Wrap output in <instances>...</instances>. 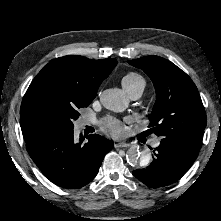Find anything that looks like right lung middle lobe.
I'll use <instances>...</instances> for the list:
<instances>
[{"label": "right lung middle lobe", "mask_w": 221, "mask_h": 221, "mask_svg": "<svg viewBox=\"0 0 221 221\" xmlns=\"http://www.w3.org/2000/svg\"><path fill=\"white\" fill-rule=\"evenodd\" d=\"M91 101L73 99L45 92H38L33 97L36 110L51 119L57 131L73 130L74 121L79 118V109L89 106Z\"/></svg>", "instance_id": "dd1d6c3e"}]
</instances>
